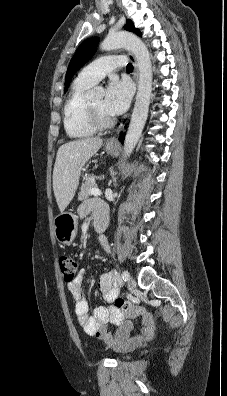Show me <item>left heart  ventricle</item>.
Instances as JSON below:
<instances>
[{"label": "left heart ventricle", "mask_w": 227, "mask_h": 396, "mask_svg": "<svg viewBox=\"0 0 227 396\" xmlns=\"http://www.w3.org/2000/svg\"><path fill=\"white\" fill-rule=\"evenodd\" d=\"M90 103H91V105H92L97 111H99L102 115L109 116V115L105 112V110H104V107H103V99H102L101 97L91 100Z\"/></svg>", "instance_id": "1"}]
</instances>
